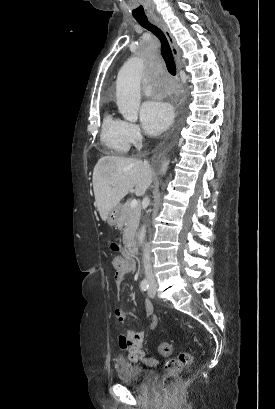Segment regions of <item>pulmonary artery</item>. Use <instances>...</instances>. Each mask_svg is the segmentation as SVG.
<instances>
[{
	"label": "pulmonary artery",
	"instance_id": "e3ab8cb5",
	"mask_svg": "<svg viewBox=\"0 0 275 409\" xmlns=\"http://www.w3.org/2000/svg\"><path fill=\"white\" fill-rule=\"evenodd\" d=\"M145 95L152 96L153 95V90L151 86H146L145 87Z\"/></svg>",
	"mask_w": 275,
	"mask_h": 409
}]
</instances>
